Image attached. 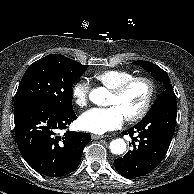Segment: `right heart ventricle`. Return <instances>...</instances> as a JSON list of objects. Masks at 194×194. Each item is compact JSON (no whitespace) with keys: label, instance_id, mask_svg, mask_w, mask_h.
<instances>
[{"label":"right heart ventricle","instance_id":"1","mask_svg":"<svg viewBox=\"0 0 194 194\" xmlns=\"http://www.w3.org/2000/svg\"><path fill=\"white\" fill-rule=\"evenodd\" d=\"M132 77H134L132 72L117 69L103 70L93 74L96 82L110 90Z\"/></svg>","mask_w":194,"mask_h":194}]
</instances>
